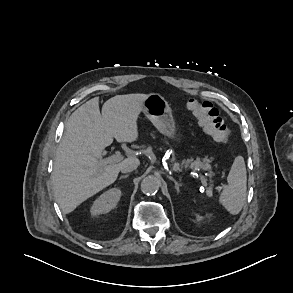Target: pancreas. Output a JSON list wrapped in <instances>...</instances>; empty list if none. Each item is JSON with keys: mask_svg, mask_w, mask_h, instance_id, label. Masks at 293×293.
<instances>
[{"mask_svg": "<svg viewBox=\"0 0 293 293\" xmlns=\"http://www.w3.org/2000/svg\"><path fill=\"white\" fill-rule=\"evenodd\" d=\"M174 157L172 158V162H174ZM211 162V159L209 158H204L202 159V161L200 160V158H196V160L193 161V159H185L182 161L181 165L185 168H191V169H203L205 171H210L211 170V165L209 164ZM179 164L178 163H174V167H178ZM211 190L208 191V194H211Z\"/></svg>", "mask_w": 293, "mask_h": 293, "instance_id": "obj_1", "label": "pancreas"}]
</instances>
